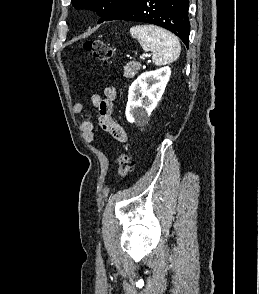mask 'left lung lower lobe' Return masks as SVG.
<instances>
[{
  "mask_svg": "<svg viewBox=\"0 0 259 294\" xmlns=\"http://www.w3.org/2000/svg\"><path fill=\"white\" fill-rule=\"evenodd\" d=\"M189 0H128L104 20H126L155 24L176 34L188 47ZM103 21V22H104Z\"/></svg>",
  "mask_w": 259,
  "mask_h": 294,
  "instance_id": "1",
  "label": "left lung lower lobe"
}]
</instances>
